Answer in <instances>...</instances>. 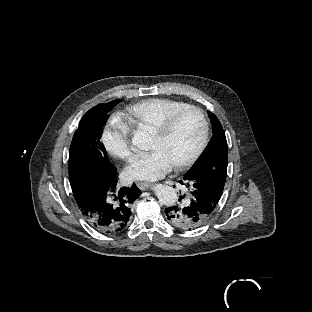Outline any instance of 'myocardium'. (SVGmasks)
I'll return each mask as SVG.
<instances>
[{
  "label": "myocardium",
  "instance_id": "myocardium-1",
  "mask_svg": "<svg viewBox=\"0 0 312 312\" xmlns=\"http://www.w3.org/2000/svg\"><path fill=\"white\" fill-rule=\"evenodd\" d=\"M187 119H194L196 121V126L198 128V142L200 144L197 147L196 151L193 152L192 156L187 157L182 161L171 164L170 169L173 172L186 171L190 166L195 167L198 164V161H202L205 158L204 154L209 153L211 146V136H212V126L208 122V118L205 112L197 107H180L177 111L170 114L168 118L165 119L164 123L161 124L158 131V135L161 138L167 136L170 133L171 129L178 121Z\"/></svg>",
  "mask_w": 312,
  "mask_h": 312
}]
</instances>
